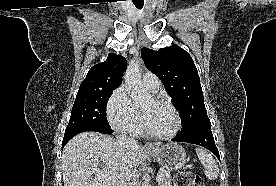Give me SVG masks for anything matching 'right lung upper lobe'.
<instances>
[{
  "label": "right lung upper lobe",
  "instance_id": "right-lung-upper-lobe-1",
  "mask_svg": "<svg viewBox=\"0 0 276 186\" xmlns=\"http://www.w3.org/2000/svg\"><path fill=\"white\" fill-rule=\"evenodd\" d=\"M127 67L124 57L109 54L107 60L91 67L82 81L79 90L85 89H116Z\"/></svg>",
  "mask_w": 276,
  "mask_h": 186
}]
</instances>
